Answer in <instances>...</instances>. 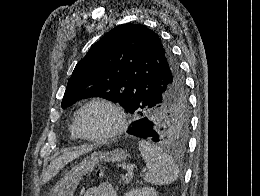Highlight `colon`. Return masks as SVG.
I'll use <instances>...</instances> for the list:
<instances>
[{
	"mask_svg": "<svg viewBox=\"0 0 260 196\" xmlns=\"http://www.w3.org/2000/svg\"><path fill=\"white\" fill-rule=\"evenodd\" d=\"M103 173H102V168L99 167V175L101 176Z\"/></svg>",
	"mask_w": 260,
	"mask_h": 196,
	"instance_id": "5ec220e1",
	"label": "colon"
}]
</instances>
